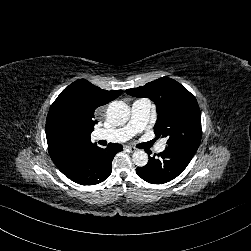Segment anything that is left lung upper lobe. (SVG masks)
Instances as JSON below:
<instances>
[{
	"label": "left lung upper lobe",
	"instance_id": "5c2ea615",
	"mask_svg": "<svg viewBox=\"0 0 251 251\" xmlns=\"http://www.w3.org/2000/svg\"><path fill=\"white\" fill-rule=\"evenodd\" d=\"M134 97L150 98L156 105L157 137H166L168 146L196 151L202 137L201 113L196 98L180 83L162 77L138 88L127 89Z\"/></svg>",
	"mask_w": 251,
	"mask_h": 251
}]
</instances>
